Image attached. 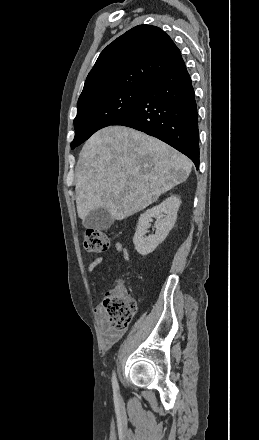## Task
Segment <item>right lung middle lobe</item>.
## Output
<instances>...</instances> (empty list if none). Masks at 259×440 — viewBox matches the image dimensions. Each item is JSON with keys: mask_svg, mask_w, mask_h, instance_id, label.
Here are the masks:
<instances>
[{"mask_svg": "<svg viewBox=\"0 0 259 440\" xmlns=\"http://www.w3.org/2000/svg\"><path fill=\"white\" fill-rule=\"evenodd\" d=\"M148 87L120 89L95 98L78 107L74 119V149L101 128L112 125L128 114L141 100Z\"/></svg>", "mask_w": 259, "mask_h": 440, "instance_id": "obj_1", "label": "right lung middle lobe"}]
</instances>
